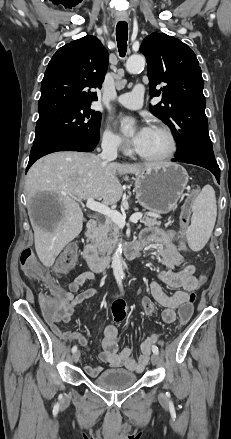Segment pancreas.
Masks as SVG:
<instances>
[{
	"label": "pancreas",
	"mask_w": 231,
	"mask_h": 439,
	"mask_svg": "<svg viewBox=\"0 0 231 439\" xmlns=\"http://www.w3.org/2000/svg\"><path fill=\"white\" fill-rule=\"evenodd\" d=\"M141 222L148 227L161 225V221L148 216H144ZM119 232V226L107 216L105 217L104 222L98 225L91 240L98 248L101 255L111 251L113 246L118 242Z\"/></svg>",
	"instance_id": "cf45deb5"
}]
</instances>
